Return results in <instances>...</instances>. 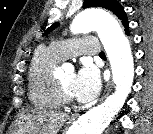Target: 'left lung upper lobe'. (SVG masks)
<instances>
[{
	"instance_id": "obj_1",
	"label": "left lung upper lobe",
	"mask_w": 153,
	"mask_h": 134,
	"mask_svg": "<svg viewBox=\"0 0 153 134\" xmlns=\"http://www.w3.org/2000/svg\"><path fill=\"white\" fill-rule=\"evenodd\" d=\"M84 8L89 7H102L113 12L121 21L123 26L125 27L126 34L129 35V24L126 17V13L124 12V8L120 5L117 0H85L83 4ZM57 24H53L50 26L44 33L47 35L50 31H52Z\"/></svg>"
}]
</instances>
